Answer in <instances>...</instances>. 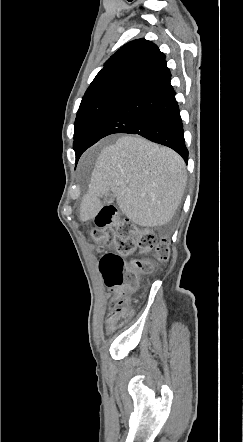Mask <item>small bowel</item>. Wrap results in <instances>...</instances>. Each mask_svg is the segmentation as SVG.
<instances>
[{"instance_id": "c3829d8e", "label": "small bowel", "mask_w": 243, "mask_h": 442, "mask_svg": "<svg viewBox=\"0 0 243 442\" xmlns=\"http://www.w3.org/2000/svg\"><path fill=\"white\" fill-rule=\"evenodd\" d=\"M106 325L109 329H112L115 326V320H114V314L113 312L110 313V316L108 317L106 321Z\"/></svg>"}]
</instances>
